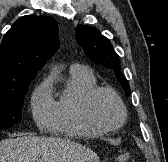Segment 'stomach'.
<instances>
[{"label":"stomach","mask_w":168,"mask_h":162,"mask_svg":"<svg viewBox=\"0 0 168 162\" xmlns=\"http://www.w3.org/2000/svg\"><path fill=\"white\" fill-rule=\"evenodd\" d=\"M90 162H100V161H90Z\"/></svg>","instance_id":"0dacf381"}]
</instances>
